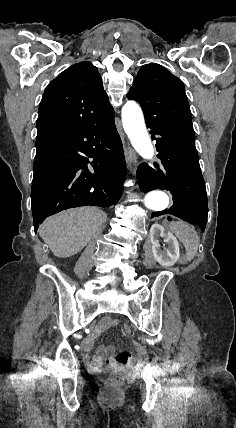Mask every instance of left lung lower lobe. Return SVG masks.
<instances>
[{
	"mask_svg": "<svg viewBox=\"0 0 236 428\" xmlns=\"http://www.w3.org/2000/svg\"><path fill=\"white\" fill-rule=\"evenodd\" d=\"M156 140L158 158L162 165L156 169L141 164L137 179L142 192L155 189L169 191L173 206L153 212L151 218L171 214L205 230L208 215L207 193L201 173L195 139L186 137L162 123H146Z\"/></svg>",
	"mask_w": 236,
	"mask_h": 428,
	"instance_id": "obj_1",
	"label": "left lung lower lobe"
}]
</instances>
